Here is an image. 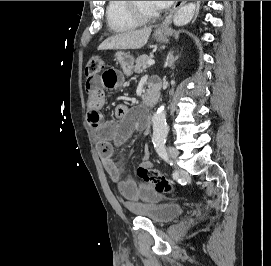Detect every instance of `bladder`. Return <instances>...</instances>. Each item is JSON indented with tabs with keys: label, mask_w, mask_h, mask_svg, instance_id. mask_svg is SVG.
<instances>
[{
	"label": "bladder",
	"mask_w": 271,
	"mask_h": 266,
	"mask_svg": "<svg viewBox=\"0 0 271 266\" xmlns=\"http://www.w3.org/2000/svg\"><path fill=\"white\" fill-rule=\"evenodd\" d=\"M183 207L179 203H167L158 206L137 209L139 217L150 220L155 224H164L181 214Z\"/></svg>",
	"instance_id": "1"
}]
</instances>
